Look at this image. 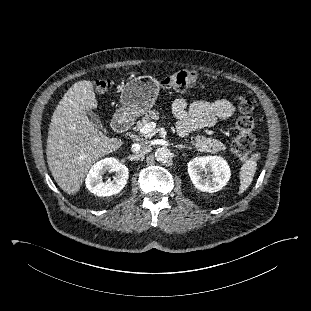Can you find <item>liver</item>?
<instances>
[{"instance_id": "6515ba94", "label": "liver", "mask_w": 311, "mask_h": 311, "mask_svg": "<svg viewBox=\"0 0 311 311\" xmlns=\"http://www.w3.org/2000/svg\"><path fill=\"white\" fill-rule=\"evenodd\" d=\"M97 106L93 83L83 80L68 89L53 113L47 163L54 180L67 194H76L92 164L123 144L121 139L107 137L86 116V111Z\"/></svg>"}]
</instances>
